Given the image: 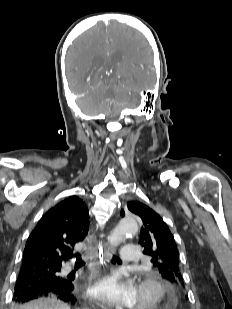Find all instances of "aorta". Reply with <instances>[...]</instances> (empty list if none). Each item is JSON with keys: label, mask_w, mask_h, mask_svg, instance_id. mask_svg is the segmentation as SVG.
Here are the masks:
<instances>
[{"label": "aorta", "mask_w": 232, "mask_h": 309, "mask_svg": "<svg viewBox=\"0 0 232 309\" xmlns=\"http://www.w3.org/2000/svg\"><path fill=\"white\" fill-rule=\"evenodd\" d=\"M139 228L138 221L135 217H126L120 220L109 236V242L114 248L119 245L127 235L137 233Z\"/></svg>", "instance_id": "aorta-1"}]
</instances>
